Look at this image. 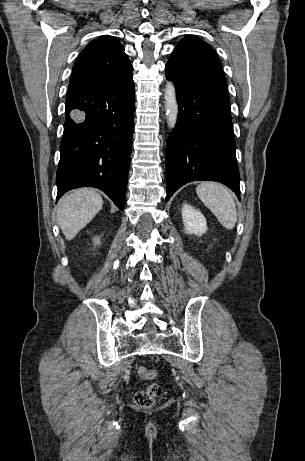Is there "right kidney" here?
I'll return each instance as SVG.
<instances>
[{"label": "right kidney", "instance_id": "ca27d5eb", "mask_svg": "<svg viewBox=\"0 0 305 461\" xmlns=\"http://www.w3.org/2000/svg\"><path fill=\"white\" fill-rule=\"evenodd\" d=\"M94 242H95V244L99 243V239H98V238H95V239H94Z\"/></svg>", "mask_w": 305, "mask_h": 461}]
</instances>
